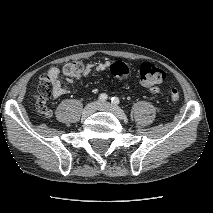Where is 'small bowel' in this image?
<instances>
[{"mask_svg":"<svg viewBox=\"0 0 213 213\" xmlns=\"http://www.w3.org/2000/svg\"><path fill=\"white\" fill-rule=\"evenodd\" d=\"M112 63L105 61L96 64H87L85 67V73H90L95 70L98 72L110 70ZM61 71L58 67H50L46 75L42 78L50 85V93L53 98H59L67 93L66 87L62 84L60 80ZM150 91L154 94H158L160 89L157 86L151 87Z\"/></svg>","mask_w":213,"mask_h":213,"instance_id":"c3829d8e","label":"small bowel"}]
</instances>
